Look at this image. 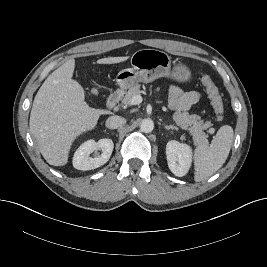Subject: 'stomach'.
Instances as JSON below:
<instances>
[{"label":"stomach","mask_w":267,"mask_h":267,"mask_svg":"<svg viewBox=\"0 0 267 267\" xmlns=\"http://www.w3.org/2000/svg\"><path fill=\"white\" fill-rule=\"evenodd\" d=\"M132 68L121 70L116 77V82L123 90L138 84L150 83L154 80L167 77L177 82H185L191 78L188 67L182 63L176 64L171 69V57L160 50L141 49L131 56Z\"/></svg>","instance_id":"1"}]
</instances>
